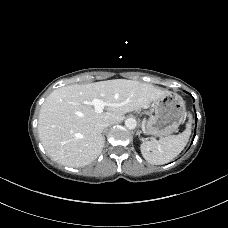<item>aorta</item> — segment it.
<instances>
[{
	"label": "aorta",
	"instance_id": "obj_1",
	"mask_svg": "<svg viewBox=\"0 0 228 228\" xmlns=\"http://www.w3.org/2000/svg\"><path fill=\"white\" fill-rule=\"evenodd\" d=\"M137 125V122L134 118H128L125 120V126L128 128V129H134Z\"/></svg>",
	"mask_w": 228,
	"mask_h": 228
}]
</instances>
